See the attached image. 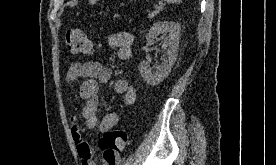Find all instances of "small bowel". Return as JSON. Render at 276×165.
Here are the masks:
<instances>
[{
  "label": "small bowel",
  "instance_id": "small-bowel-1",
  "mask_svg": "<svg viewBox=\"0 0 276 165\" xmlns=\"http://www.w3.org/2000/svg\"><path fill=\"white\" fill-rule=\"evenodd\" d=\"M134 37L128 32H118L109 35L108 43L117 50V57L122 60H128L132 55V44ZM112 71L97 61L89 62H73L68 67L65 80L69 86H73L76 82L81 81L79 89V97L81 99V115L85 120V124L89 129L98 127L101 132H108L113 129L119 122L116 112L105 114L100 120L98 118L99 111V85L110 80ZM114 91L123 95L124 103L127 105L134 104L136 101V91L127 80L118 79L113 84ZM72 139L76 145L78 156L82 165H97L94 160V152L92 147L83 138L78 118L74 115L69 118ZM119 155L114 154L108 157L103 153L102 165H118Z\"/></svg>",
  "mask_w": 276,
  "mask_h": 165
}]
</instances>
